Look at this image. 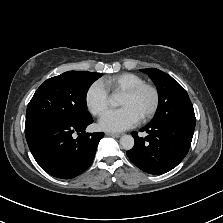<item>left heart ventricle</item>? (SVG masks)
<instances>
[{"instance_id":"left-heart-ventricle-1","label":"left heart ventricle","mask_w":223,"mask_h":223,"mask_svg":"<svg viewBox=\"0 0 223 223\" xmlns=\"http://www.w3.org/2000/svg\"><path fill=\"white\" fill-rule=\"evenodd\" d=\"M122 107H130L141 118L152 105V95L148 90L142 91L135 97L121 95L120 103Z\"/></svg>"}]
</instances>
